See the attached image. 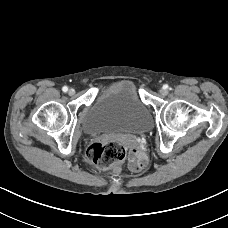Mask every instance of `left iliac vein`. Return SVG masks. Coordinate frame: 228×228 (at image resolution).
I'll return each mask as SVG.
<instances>
[{
  "label": "left iliac vein",
  "instance_id": "1",
  "mask_svg": "<svg viewBox=\"0 0 228 228\" xmlns=\"http://www.w3.org/2000/svg\"><path fill=\"white\" fill-rule=\"evenodd\" d=\"M159 93L163 96L167 95L168 91L165 88L160 89Z\"/></svg>",
  "mask_w": 228,
  "mask_h": 228
}]
</instances>
